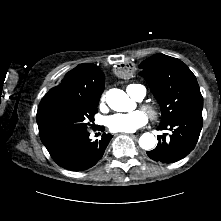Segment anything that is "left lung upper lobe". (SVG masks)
<instances>
[{
  "instance_id": "5c2ea615",
  "label": "left lung upper lobe",
  "mask_w": 221,
  "mask_h": 221,
  "mask_svg": "<svg viewBox=\"0 0 221 221\" xmlns=\"http://www.w3.org/2000/svg\"><path fill=\"white\" fill-rule=\"evenodd\" d=\"M140 67L151 91L161 105V124L170 122L177 116L203 109V97L195 75L179 59L155 54L146 59ZM172 148L164 150L165 155Z\"/></svg>"
}]
</instances>
